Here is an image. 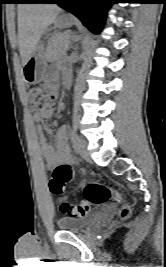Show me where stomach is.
I'll use <instances>...</instances> for the list:
<instances>
[{"mask_svg": "<svg viewBox=\"0 0 166 267\" xmlns=\"http://www.w3.org/2000/svg\"><path fill=\"white\" fill-rule=\"evenodd\" d=\"M73 24V20L64 15L59 16L54 21L57 28H68ZM47 63L44 56V46L38 44L33 53L23 65L22 76L27 84H38L46 80Z\"/></svg>", "mask_w": 166, "mask_h": 267, "instance_id": "1", "label": "stomach"}]
</instances>
